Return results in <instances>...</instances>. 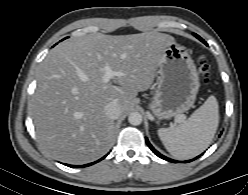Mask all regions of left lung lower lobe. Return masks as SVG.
I'll return each instance as SVG.
<instances>
[{
    "label": "left lung lower lobe",
    "instance_id": "obj_1",
    "mask_svg": "<svg viewBox=\"0 0 248 195\" xmlns=\"http://www.w3.org/2000/svg\"><path fill=\"white\" fill-rule=\"evenodd\" d=\"M205 44H206V42H205ZM146 143H147V145L150 147V149H151L158 157H160V158H162V159H164V160H167V161H169V162H174V163L177 162V161H175V160H172V159L167 158V157L163 156L162 154H160L157 150L154 149V147L150 144V142L148 141L147 138H146ZM198 157H199V156H198ZM198 157H196V158H198ZM196 158H195V159H196ZM192 160H194V159H192ZM192 160H188V161H184V162H190V161H192Z\"/></svg>",
    "mask_w": 248,
    "mask_h": 195
}]
</instances>
